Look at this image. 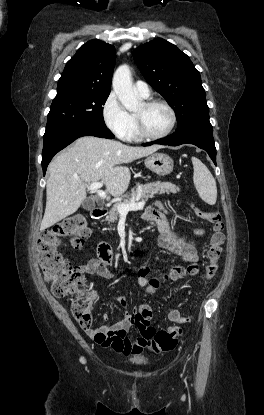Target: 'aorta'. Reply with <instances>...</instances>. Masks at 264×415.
I'll return each instance as SVG.
<instances>
[{
	"label": "aorta",
	"mask_w": 264,
	"mask_h": 415,
	"mask_svg": "<svg viewBox=\"0 0 264 415\" xmlns=\"http://www.w3.org/2000/svg\"><path fill=\"white\" fill-rule=\"evenodd\" d=\"M113 89L120 102L129 111L137 110L141 105V98L132 86L131 71L128 65L117 68L112 79Z\"/></svg>",
	"instance_id": "aorta-1"
}]
</instances>
